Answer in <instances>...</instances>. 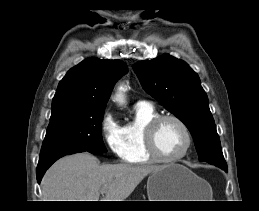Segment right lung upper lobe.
Masks as SVG:
<instances>
[{"label":"right lung upper lobe","instance_id":"right-lung-upper-lobe-1","mask_svg":"<svg viewBox=\"0 0 259 211\" xmlns=\"http://www.w3.org/2000/svg\"><path fill=\"white\" fill-rule=\"evenodd\" d=\"M126 72V64L119 60L85 59L59 83L51 117L75 108L105 109L115 82Z\"/></svg>","mask_w":259,"mask_h":211}]
</instances>
